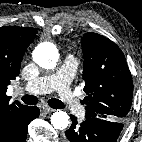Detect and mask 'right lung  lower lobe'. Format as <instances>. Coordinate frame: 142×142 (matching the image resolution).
Wrapping results in <instances>:
<instances>
[{
	"mask_svg": "<svg viewBox=\"0 0 142 142\" xmlns=\"http://www.w3.org/2000/svg\"><path fill=\"white\" fill-rule=\"evenodd\" d=\"M40 110L36 106L29 107L7 126L0 137V142H25L29 123L39 116Z\"/></svg>",
	"mask_w": 142,
	"mask_h": 142,
	"instance_id": "98d812e1",
	"label": "right lung lower lobe"
}]
</instances>
